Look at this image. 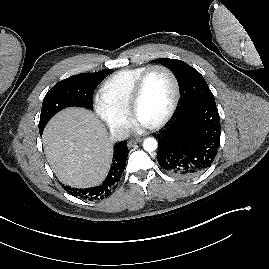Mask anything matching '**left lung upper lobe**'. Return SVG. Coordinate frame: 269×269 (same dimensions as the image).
Returning <instances> with one entry per match:
<instances>
[{"label":"left lung upper lobe","mask_w":269,"mask_h":269,"mask_svg":"<svg viewBox=\"0 0 269 269\" xmlns=\"http://www.w3.org/2000/svg\"><path fill=\"white\" fill-rule=\"evenodd\" d=\"M153 62L169 68L177 77L181 92L179 112L193 104H216L205 79L196 69L177 59L161 58Z\"/></svg>","instance_id":"5c2ea615"}]
</instances>
